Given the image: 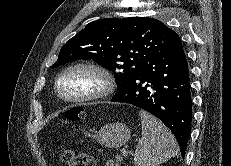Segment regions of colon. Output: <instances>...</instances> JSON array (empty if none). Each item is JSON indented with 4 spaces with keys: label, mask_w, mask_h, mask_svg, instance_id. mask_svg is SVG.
I'll use <instances>...</instances> for the list:
<instances>
[{
    "label": "colon",
    "mask_w": 231,
    "mask_h": 166,
    "mask_svg": "<svg viewBox=\"0 0 231 166\" xmlns=\"http://www.w3.org/2000/svg\"><path fill=\"white\" fill-rule=\"evenodd\" d=\"M85 115V111L81 108H71L66 111V118L69 121L82 120ZM61 158L66 166H95V161L92 157L76 153L70 149H62Z\"/></svg>",
    "instance_id": "1"
}]
</instances>
